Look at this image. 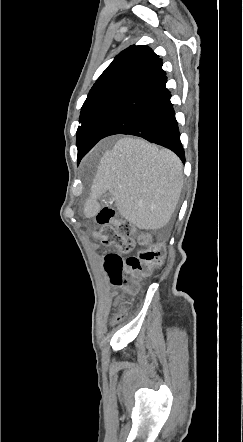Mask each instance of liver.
<instances>
[{
    "mask_svg": "<svg viewBox=\"0 0 243 442\" xmlns=\"http://www.w3.org/2000/svg\"><path fill=\"white\" fill-rule=\"evenodd\" d=\"M182 187L183 165L177 155L143 139L123 137L103 154L84 215L94 217L100 210L97 199L109 192L128 222L158 230L169 223Z\"/></svg>",
    "mask_w": 243,
    "mask_h": 442,
    "instance_id": "6515ba94",
    "label": "liver"
}]
</instances>
